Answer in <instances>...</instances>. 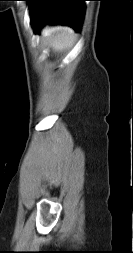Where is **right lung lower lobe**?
<instances>
[{"instance_id": "1", "label": "right lung lower lobe", "mask_w": 133, "mask_h": 253, "mask_svg": "<svg viewBox=\"0 0 133 253\" xmlns=\"http://www.w3.org/2000/svg\"><path fill=\"white\" fill-rule=\"evenodd\" d=\"M86 0H30L31 23L39 32L46 23L65 24L80 31Z\"/></svg>"}]
</instances>
